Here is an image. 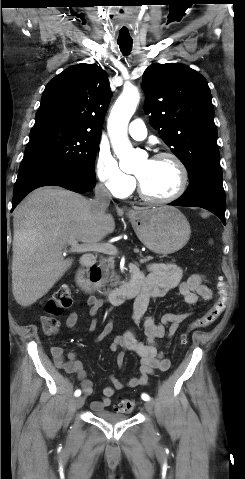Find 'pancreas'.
I'll list each match as a JSON object with an SVG mask.
<instances>
[{
	"instance_id": "obj_1",
	"label": "pancreas",
	"mask_w": 245,
	"mask_h": 479,
	"mask_svg": "<svg viewBox=\"0 0 245 479\" xmlns=\"http://www.w3.org/2000/svg\"><path fill=\"white\" fill-rule=\"evenodd\" d=\"M152 259L151 257H145L140 259V262L145 263ZM99 267L103 272V276L101 280L95 283V286L98 289L103 290V293L107 294L110 292L109 287H115L119 284V276L116 274L114 270V257H103L99 258ZM108 287L105 289V287Z\"/></svg>"
}]
</instances>
